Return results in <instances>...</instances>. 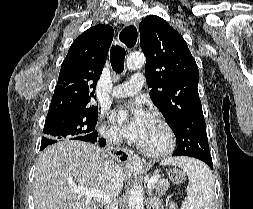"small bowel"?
<instances>
[{"instance_id": "small-bowel-1", "label": "small bowel", "mask_w": 253, "mask_h": 209, "mask_svg": "<svg viewBox=\"0 0 253 209\" xmlns=\"http://www.w3.org/2000/svg\"><path fill=\"white\" fill-rule=\"evenodd\" d=\"M167 209H177V206L175 203L171 202Z\"/></svg>"}]
</instances>
